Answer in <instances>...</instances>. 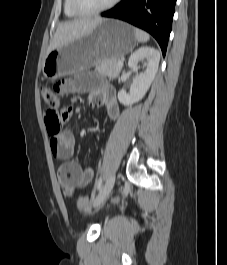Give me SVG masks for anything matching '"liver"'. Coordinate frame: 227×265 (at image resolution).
Here are the masks:
<instances>
[{"label": "liver", "mask_w": 227, "mask_h": 265, "mask_svg": "<svg viewBox=\"0 0 227 265\" xmlns=\"http://www.w3.org/2000/svg\"><path fill=\"white\" fill-rule=\"evenodd\" d=\"M102 21V18H84L60 23L47 49V54L59 46L68 44L75 39L90 34Z\"/></svg>", "instance_id": "1"}]
</instances>
